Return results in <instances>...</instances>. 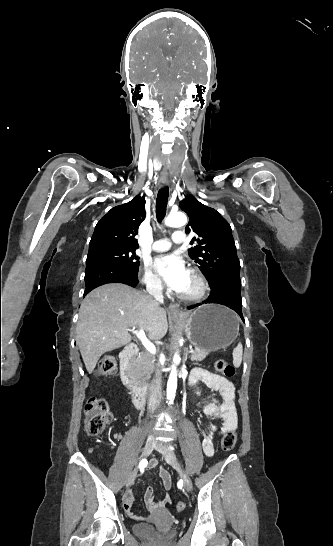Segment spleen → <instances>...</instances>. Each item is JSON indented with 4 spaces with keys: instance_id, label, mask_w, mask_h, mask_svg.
<instances>
[{
    "instance_id": "1",
    "label": "spleen",
    "mask_w": 333,
    "mask_h": 546,
    "mask_svg": "<svg viewBox=\"0 0 333 546\" xmlns=\"http://www.w3.org/2000/svg\"><path fill=\"white\" fill-rule=\"evenodd\" d=\"M242 352H243V347H242V344L239 343L233 350V365L237 368L241 365Z\"/></svg>"
}]
</instances>
